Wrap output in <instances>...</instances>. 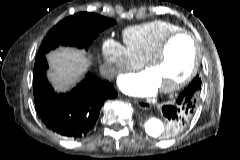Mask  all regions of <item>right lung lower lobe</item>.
<instances>
[{
  "label": "right lung lower lobe",
  "mask_w": 240,
  "mask_h": 160,
  "mask_svg": "<svg viewBox=\"0 0 240 160\" xmlns=\"http://www.w3.org/2000/svg\"><path fill=\"white\" fill-rule=\"evenodd\" d=\"M45 56L36 59L33 94L38 116L54 133L81 138L95 125L104 102L117 96L112 84L88 73L71 92L57 94L46 78Z\"/></svg>",
  "instance_id": "right-lung-lower-lobe-1"
}]
</instances>
